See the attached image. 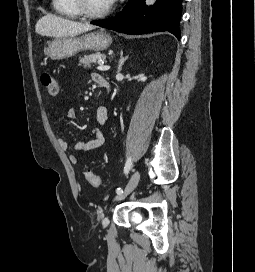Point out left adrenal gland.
Segmentation results:
<instances>
[{
	"label": "left adrenal gland",
	"mask_w": 255,
	"mask_h": 272,
	"mask_svg": "<svg viewBox=\"0 0 255 272\" xmlns=\"http://www.w3.org/2000/svg\"><path fill=\"white\" fill-rule=\"evenodd\" d=\"M128 59V56L124 57L123 56V51L121 50L120 52V59L118 62V69L117 72L119 73L122 70V66L124 65L125 61Z\"/></svg>",
	"instance_id": "a2214340"
}]
</instances>
